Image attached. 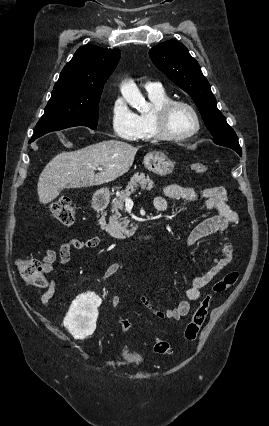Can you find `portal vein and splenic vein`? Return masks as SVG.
<instances>
[{
    "mask_svg": "<svg viewBox=\"0 0 269 426\" xmlns=\"http://www.w3.org/2000/svg\"><path fill=\"white\" fill-rule=\"evenodd\" d=\"M98 170L102 171V170H103V168L98 167ZM125 204H126V205L133 204L132 199H130L129 197L125 198Z\"/></svg>",
    "mask_w": 269,
    "mask_h": 426,
    "instance_id": "1",
    "label": "portal vein and splenic vein"
}]
</instances>
